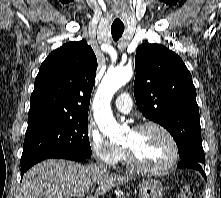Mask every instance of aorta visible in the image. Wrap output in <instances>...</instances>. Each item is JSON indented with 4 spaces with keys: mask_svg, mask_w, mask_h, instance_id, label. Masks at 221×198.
Segmentation results:
<instances>
[{
    "mask_svg": "<svg viewBox=\"0 0 221 198\" xmlns=\"http://www.w3.org/2000/svg\"><path fill=\"white\" fill-rule=\"evenodd\" d=\"M132 76L131 67L108 70L93 100L95 121L103 135L109 137L113 142L123 137L124 130L115 120L110 103L115 92L129 82Z\"/></svg>",
    "mask_w": 221,
    "mask_h": 198,
    "instance_id": "aorta-1",
    "label": "aorta"
}]
</instances>
